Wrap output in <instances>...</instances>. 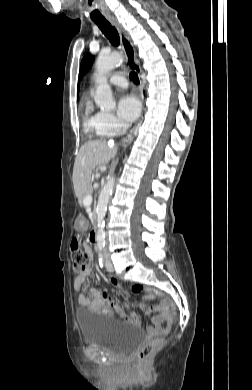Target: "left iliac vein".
<instances>
[{
  "instance_id": "left-iliac-vein-1",
  "label": "left iliac vein",
  "mask_w": 252,
  "mask_h": 390,
  "mask_svg": "<svg viewBox=\"0 0 252 390\" xmlns=\"http://www.w3.org/2000/svg\"><path fill=\"white\" fill-rule=\"evenodd\" d=\"M105 266H106V269H107L108 272H113L114 271V267H113L112 261L110 260L109 257H106Z\"/></svg>"
}]
</instances>
